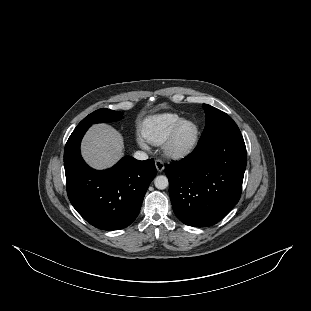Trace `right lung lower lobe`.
<instances>
[{
    "instance_id": "1",
    "label": "right lung lower lobe",
    "mask_w": 311,
    "mask_h": 311,
    "mask_svg": "<svg viewBox=\"0 0 311 311\" xmlns=\"http://www.w3.org/2000/svg\"><path fill=\"white\" fill-rule=\"evenodd\" d=\"M89 127H76L65 145L68 198L91 225L103 230L123 229L140 212L148 186L157 174L154 160L125 156L110 169L90 168L80 154V143Z\"/></svg>"
}]
</instances>
